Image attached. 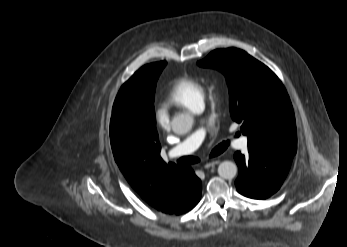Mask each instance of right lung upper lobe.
<instances>
[{"instance_id":"1","label":"right lung upper lobe","mask_w":347,"mask_h":247,"mask_svg":"<svg viewBox=\"0 0 347 247\" xmlns=\"http://www.w3.org/2000/svg\"><path fill=\"white\" fill-rule=\"evenodd\" d=\"M110 140L115 161L129 184L158 211L172 213L195 190L196 181L187 166L167 165L161 158L157 133L126 126L112 112Z\"/></svg>"}]
</instances>
